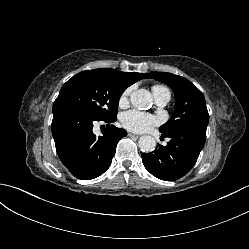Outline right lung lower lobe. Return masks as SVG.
<instances>
[{
	"label": "right lung lower lobe",
	"mask_w": 249,
	"mask_h": 249,
	"mask_svg": "<svg viewBox=\"0 0 249 249\" xmlns=\"http://www.w3.org/2000/svg\"><path fill=\"white\" fill-rule=\"evenodd\" d=\"M117 118L97 119L67 103H54L51 131L57 154L66 168L77 178L94 179L111 165L116 145L127 135L126 130L111 125ZM95 121L107 123L97 137Z\"/></svg>",
	"instance_id": "right-lung-lower-lobe-1"
}]
</instances>
